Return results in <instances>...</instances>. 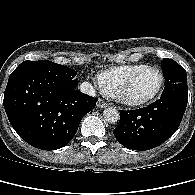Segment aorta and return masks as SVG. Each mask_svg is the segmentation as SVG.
Instances as JSON below:
<instances>
[{
	"label": "aorta",
	"instance_id": "1",
	"mask_svg": "<svg viewBox=\"0 0 195 195\" xmlns=\"http://www.w3.org/2000/svg\"><path fill=\"white\" fill-rule=\"evenodd\" d=\"M104 119L111 124L117 123L120 119L118 110L114 107H107L103 111Z\"/></svg>",
	"mask_w": 195,
	"mask_h": 195
}]
</instances>
